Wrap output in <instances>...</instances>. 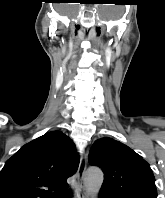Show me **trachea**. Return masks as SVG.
<instances>
[{
    "mask_svg": "<svg viewBox=\"0 0 165 198\" xmlns=\"http://www.w3.org/2000/svg\"><path fill=\"white\" fill-rule=\"evenodd\" d=\"M67 193H64L61 197L63 198L64 196H66Z\"/></svg>",
    "mask_w": 165,
    "mask_h": 198,
    "instance_id": "obj_1",
    "label": "trachea"
}]
</instances>
